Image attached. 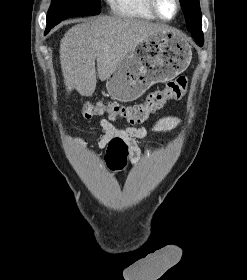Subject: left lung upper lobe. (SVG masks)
<instances>
[{
    "label": "left lung upper lobe",
    "mask_w": 247,
    "mask_h": 280,
    "mask_svg": "<svg viewBox=\"0 0 247 280\" xmlns=\"http://www.w3.org/2000/svg\"><path fill=\"white\" fill-rule=\"evenodd\" d=\"M181 4L188 30L191 33L203 36L199 0H181Z\"/></svg>",
    "instance_id": "1"
}]
</instances>
